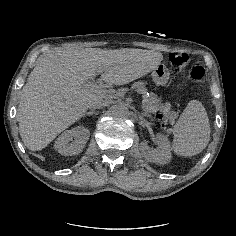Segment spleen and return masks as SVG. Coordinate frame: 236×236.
Here are the masks:
<instances>
[{"instance_id":"spleen-1","label":"spleen","mask_w":236,"mask_h":236,"mask_svg":"<svg viewBox=\"0 0 236 236\" xmlns=\"http://www.w3.org/2000/svg\"><path fill=\"white\" fill-rule=\"evenodd\" d=\"M172 149L183 156H194L202 152L210 138L207 112L197 100H192L183 110L173 129Z\"/></svg>"}]
</instances>
